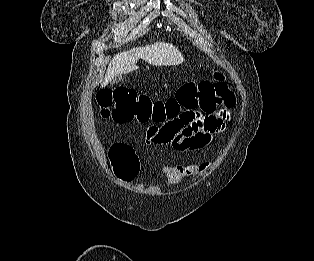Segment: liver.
Here are the masks:
<instances>
[{"label": "liver", "instance_id": "liver-1", "mask_svg": "<svg viewBox=\"0 0 314 261\" xmlns=\"http://www.w3.org/2000/svg\"><path fill=\"white\" fill-rule=\"evenodd\" d=\"M139 59L154 66H174L184 61L179 49L166 42H156L145 47L123 51L116 54L109 63L101 86H106L115 76L137 70L139 67L136 66V63Z\"/></svg>", "mask_w": 314, "mask_h": 261}]
</instances>
